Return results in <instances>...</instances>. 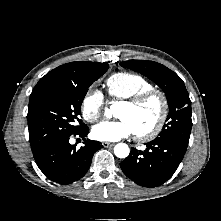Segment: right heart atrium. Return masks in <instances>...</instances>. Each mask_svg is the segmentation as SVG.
Here are the masks:
<instances>
[{"label":"right heart atrium","mask_w":221,"mask_h":221,"mask_svg":"<svg viewBox=\"0 0 221 221\" xmlns=\"http://www.w3.org/2000/svg\"><path fill=\"white\" fill-rule=\"evenodd\" d=\"M105 107V98L98 89L88 90L81 101V115L89 123L96 122L102 115Z\"/></svg>","instance_id":"right-heart-atrium-1"}]
</instances>
